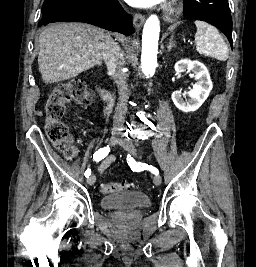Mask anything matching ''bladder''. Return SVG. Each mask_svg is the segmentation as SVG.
<instances>
[{
  "label": "bladder",
  "mask_w": 256,
  "mask_h": 267,
  "mask_svg": "<svg viewBox=\"0 0 256 267\" xmlns=\"http://www.w3.org/2000/svg\"><path fill=\"white\" fill-rule=\"evenodd\" d=\"M100 206L108 209H131L140 206H151L148 195H105L100 198Z\"/></svg>",
  "instance_id": "31cf9c89"
}]
</instances>
